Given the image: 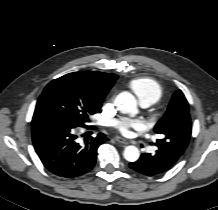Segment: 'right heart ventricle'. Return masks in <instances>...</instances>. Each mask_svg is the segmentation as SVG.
I'll return each mask as SVG.
<instances>
[{
  "label": "right heart ventricle",
  "mask_w": 218,
  "mask_h": 210,
  "mask_svg": "<svg viewBox=\"0 0 218 210\" xmlns=\"http://www.w3.org/2000/svg\"><path fill=\"white\" fill-rule=\"evenodd\" d=\"M129 87L141 104L145 103L150 106L156 103L162 96L160 84L152 78L133 79L130 81Z\"/></svg>",
  "instance_id": "e07e8e85"
}]
</instances>
